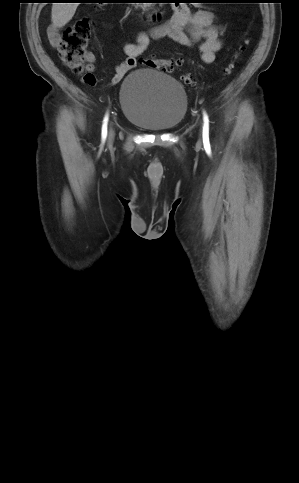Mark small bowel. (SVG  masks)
I'll list each match as a JSON object with an SVG mask.
<instances>
[{"mask_svg":"<svg viewBox=\"0 0 299 483\" xmlns=\"http://www.w3.org/2000/svg\"><path fill=\"white\" fill-rule=\"evenodd\" d=\"M222 34L223 28L215 23V15L212 11L204 9L192 11L187 4L178 3L168 22L153 26L146 32H140L135 42L126 43L123 46L127 57L116 65L111 83H119L137 66L138 58L147 50L151 40L168 38L190 48L200 43L199 52L202 62L212 64L222 48ZM48 38L53 46L60 44L61 37L56 27H49ZM87 59V71L93 73L94 56L88 54Z\"/></svg>","mask_w":299,"mask_h":483,"instance_id":"obj_1","label":"small bowel"}]
</instances>
